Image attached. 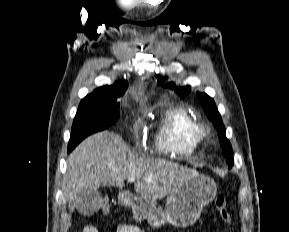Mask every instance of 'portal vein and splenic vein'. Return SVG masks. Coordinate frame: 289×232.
<instances>
[{"mask_svg": "<svg viewBox=\"0 0 289 232\" xmlns=\"http://www.w3.org/2000/svg\"><path fill=\"white\" fill-rule=\"evenodd\" d=\"M128 181L129 182H134L135 181V178L134 177H131V178H128ZM147 182H150L149 180H146Z\"/></svg>", "mask_w": 289, "mask_h": 232, "instance_id": "1", "label": "portal vein and splenic vein"}]
</instances>
